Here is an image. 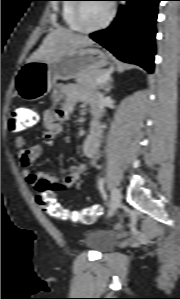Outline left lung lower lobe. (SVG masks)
Wrapping results in <instances>:
<instances>
[{"label":"left lung lower lobe","mask_w":180,"mask_h":299,"mask_svg":"<svg viewBox=\"0 0 180 299\" xmlns=\"http://www.w3.org/2000/svg\"><path fill=\"white\" fill-rule=\"evenodd\" d=\"M125 5L112 24L90 37L118 59L141 66L149 73L154 69L155 23L161 0H121Z\"/></svg>","instance_id":"left-lung-lower-lobe-1"}]
</instances>
